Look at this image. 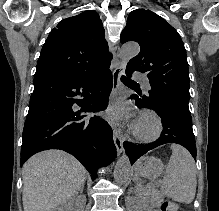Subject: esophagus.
Segmentation results:
<instances>
[{"label": "esophagus", "mask_w": 219, "mask_h": 211, "mask_svg": "<svg viewBox=\"0 0 219 211\" xmlns=\"http://www.w3.org/2000/svg\"><path fill=\"white\" fill-rule=\"evenodd\" d=\"M126 70V61H121L119 66L115 68L113 71V87L112 92L110 96L111 103H114V101L117 99L118 91L121 86V75H124ZM113 127V139L114 143L117 149L118 154H121L123 152V143H124V136L122 134V131L120 127L118 126V123H112Z\"/></svg>", "instance_id": "1"}]
</instances>
